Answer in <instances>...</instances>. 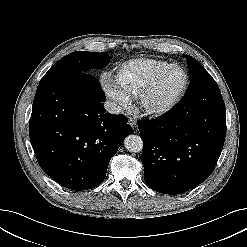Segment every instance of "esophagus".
<instances>
[{"instance_id":"34e87169","label":"esophagus","mask_w":247,"mask_h":247,"mask_svg":"<svg viewBox=\"0 0 247 247\" xmlns=\"http://www.w3.org/2000/svg\"><path fill=\"white\" fill-rule=\"evenodd\" d=\"M129 124L132 126V128L134 129V131H137V121L133 118H129L128 120Z\"/></svg>"}]
</instances>
